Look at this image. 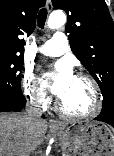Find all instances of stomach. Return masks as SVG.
<instances>
[{"label":"stomach","mask_w":114,"mask_h":156,"mask_svg":"<svg viewBox=\"0 0 114 156\" xmlns=\"http://www.w3.org/2000/svg\"><path fill=\"white\" fill-rule=\"evenodd\" d=\"M54 132L63 156H114V132L104 123L61 124Z\"/></svg>","instance_id":"1"}]
</instances>
